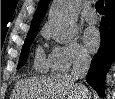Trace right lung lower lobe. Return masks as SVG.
Wrapping results in <instances>:
<instances>
[{
    "label": "right lung lower lobe",
    "instance_id": "98d812e1",
    "mask_svg": "<svg viewBox=\"0 0 115 99\" xmlns=\"http://www.w3.org/2000/svg\"><path fill=\"white\" fill-rule=\"evenodd\" d=\"M101 45L92 59L86 81L104 97V79L115 55V4L105 7L100 24Z\"/></svg>",
    "mask_w": 115,
    "mask_h": 99
}]
</instances>
